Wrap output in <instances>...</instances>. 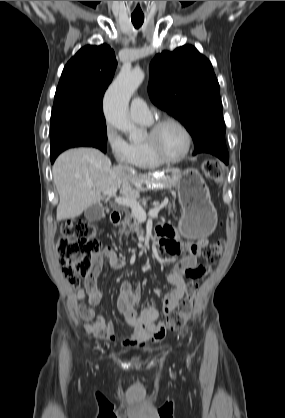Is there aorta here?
Listing matches in <instances>:
<instances>
[{"instance_id":"obj_1","label":"aorta","mask_w":285,"mask_h":418,"mask_svg":"<svg viewBox=\"0 0 285 418\" xmlns=\"http://www.w3.org/2000/svg\"><path fill=\"white\" fill-rule=\"evenodd\" d=\"M144 77L140 68H123L104 97V113L108 125L129 134L130 140H137L140 131L128 118V103Z\"/></svg>"}]
</instances>
